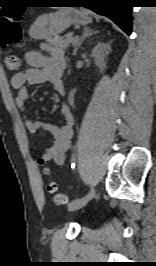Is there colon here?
I'll return each instance as SVG.
<instances>
[{"label":"colon","instance_id":"obj_1","mask_svg":"<svg viewBox=\"0 0 156 266\" xmlns=\"http://www.w3.org/2000/svg\"><path fill=\"white\" fill-rule=\"evenodd\" d=\"M22 16L21 10H13L0 20L1 44L3 46H10L20 41L22 31L19 20ZM5 64L9 71L17 72L21 67V58L16 54H8L5 57ZM42 162V160H40ZM45 175L50 176L49 168H44ZM49 192L54 194V201L56 204L62 205L67 203V196L58 192V185L55 181H51L48 185Z\"/></svg>","mask_w":156,"mask_h":266}]
</instances>
